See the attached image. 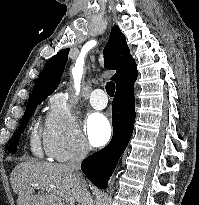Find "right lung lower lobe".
I'll return each mask as SVG.
<instances>
[{
  "instance_id": "right-lung-lower-lobe-1",
  "label": "right lung lower lobe",
  "mask_w": 199,
  "mask_h": 205,
  "mask_svg": "<svg viewBox=\"0 0 199 205\" xmlns=\"http://www.w3.org/2000/svg\"><path fill=\"white\" fill-rule=\"evenodd\" d=\"M137 75L116 88L112 102L113 137L103 149L88 156L81 169L89 180L101 189H105L107 180L126 149L134 129L135 100L134 81Z\"/></svg>"
}]
</instances>
